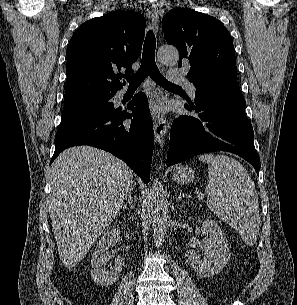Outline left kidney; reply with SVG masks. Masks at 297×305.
I'll use <instances>...</instances> for the list:
<instances>
[{"label": "left kidney", "mask_w": 297, "mask_h": 305, "mask_svg": "<svg viewBox=\"0 0 297 305\" xmlns=\"http://www.w3.org/2000/svg\"><path fill=\"white\" fill-rule=\"evenodd\" d=\"M202 234L204 237V251L206 257L201 256L195 251H187L185 256L192 269L200 277L207 278L218 274L230 259L227 239L221 228L210 219L202 224Z\"/></svg>", "instance_id": "obj_1"}]
</instances>
